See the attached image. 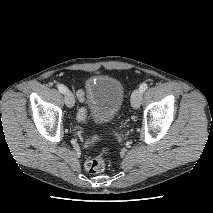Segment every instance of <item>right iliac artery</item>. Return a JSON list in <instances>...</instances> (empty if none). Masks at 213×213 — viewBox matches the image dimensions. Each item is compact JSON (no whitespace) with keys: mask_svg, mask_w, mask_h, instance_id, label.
<instances>
[{"mask_svg":"<svg viewBox=\"0 0 213 213\" xmlns=\"http://www.w3.org/2000/svg\"><path fill=\"white\" fill-rule=\"evenodd\" d=\"M57 88L63 94L67 91L66 87L62 84H59Z\"/></svg>","mask_w":213,"mask_h":213,"instance_id":"right-iliac-artery-1","label":"right iliac artery"}]
</instances>
